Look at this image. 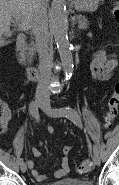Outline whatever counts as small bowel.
<instances>
[{
    "mask_svg": "<svg viewBox=\"0 0 119 185\" xmlns=\"http://www.w3.org/2000/svg\"><path fill=\"white\" fill-rule=\"evenodd\" d=\"M116 67H117V59L115 55H108L106 50L104 49L98 50L94 53L93 59L90 63L91 78L93 81L107 80L111 76V73L115 70ZM3 111L7 115V126H8L9 121L11 119V112L6 105H4ZM49 132L50 133L53 132L52 127L49 128ZM71 149L72 147L70 145H66L63 147L61 168L54 173V176L56 178H63L66 175H68V173L70 172L69 155H70ZM32 154L37 159L40 158L42 155L41 151L36 147L32 148ZM28 166L31 171V174L33 175L34 179L37 182H43L47 179L45 175L39 173L33 161L29 160Z\"/></svg>",
    "mask_w": 119,
    "mask_h": 185,
    "instance_id": "small-bowel-1",
    "label": "small bowel"
}]
</instances>
